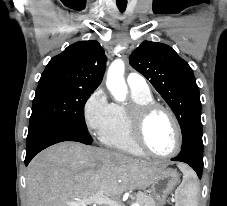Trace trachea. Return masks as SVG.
I'll list each match as a JSON object with an SVG mask.
<instances>
[{"label":"trachea","mask_w":227,"mask_h":206,"mask_svg":"<svg viewBox=\"0 0 227 206\" xmlns=\"http://www.w3.org/2000/svg\"><path fill=\"white\" fill-rule=\"evenodd\" d=\"M117 7L121 12H124L127 7V1L126 0H118L117 1Z\"/></svg>","instance_id":"1"}]
</instances>
